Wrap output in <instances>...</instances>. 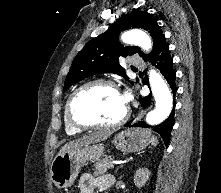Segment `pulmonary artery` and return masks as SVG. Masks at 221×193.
Returning a JSON list of instances; mask_svg holds the SVG:
<instances>
[{"label": "pulmonary artery", "instance_id": "1", "mask_svg": "<svg viewBox=\"0 0 221 193\" xmlns=\"http://www.w3.org/2000/svg\"><path fill=\"white\" fill-rule=\"evenodd\" d=\"M131 63L133 65H136V66H139L142 64V60L137 56V55H134L132 58H131Z\"/></svg>", "mask_w": 221, "mask_h": 193}]
</instances>
